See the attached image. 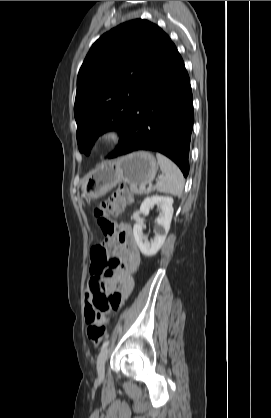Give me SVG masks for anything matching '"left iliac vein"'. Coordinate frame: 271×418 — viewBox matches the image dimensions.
<instances>
[{
  "label": "left iliac vein",
  "mask_w": 271,
  "mask_h": 418,
  "mask_svg": "<svg viewBox=\"0 0 271 418\" xmlns=\"http://www.w3.org/2000/svg\"><path fill=\"white\" fill-rule=\"evenodd\" d=\"M108 355H109V350H108L107 347L102 349L101 352L98 355V358H97V373H98L99 378L104 377L105 362L108 358Z\"/></svg>",
  "instance_id": "left-iliac-vein-1"
}]
</instances>
